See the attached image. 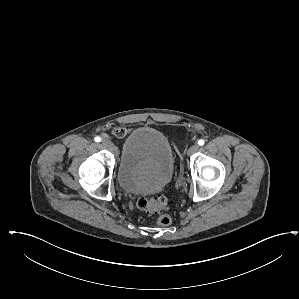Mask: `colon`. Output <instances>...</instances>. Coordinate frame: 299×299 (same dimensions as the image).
Wrapping results in <instances>:
<instances>
[{
  "mask_svg": "<svg viewBox=\"0 0 299 299\" xmlns=\"http://www.w3.org/2000/svg\"><path fill=\"white\" fill-rule=\"evenodd\" d=\"M167 204L168 199L164 195H157L153 198L141 197L136 202V205L140 210L146 211L148 213L158 212L159 215L157 217V223L161 226H168L172 222L170 215L161 212L162 210L166 209Z\"/></svg>",
  "mask_w": 299,
  "mask_h": 299,
  "instance_id": "1",
  "label": "colon"
}]
</instances>
